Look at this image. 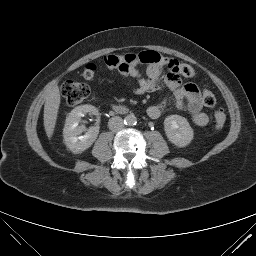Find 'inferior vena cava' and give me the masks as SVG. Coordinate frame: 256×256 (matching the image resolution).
Returning <instances> with one entry per match:
<instances>
[{
    "mask_svg": "<svg viewBox=\"0 0 256 256\" xmlns=\"http://www.w3.org/2000/svg\"><path fill=\"white\" fill-rule=\"evenodd\" d=\"M108 127L111 131L117 132L124 127L123 119L119 116H115L109 119Z\"/></svg>",
    "mask_w": 256,
    "mask_h": 256,
    "instance_id": "1",
    "label": "inferior vena cava"
}]
</instances>
